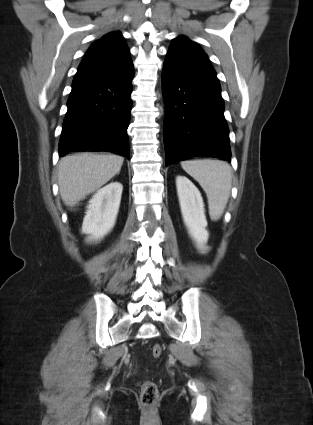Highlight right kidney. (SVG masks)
Instances as JSON below:
<instances>
[{"label": "right kidney", "instance_id": "ca27d5eb", "mask_svg": "<svg viewBox=\"0 0 313 425\" xmlns=\"http://www.w3.org/2000/svg\"><path fill=\"white\" fill-rule=\"evenodd\" d=\"M122 190L121 183L111 182L93 195L82 223V233L88 235L87 241L102 239L114 227Z\"/></svg>", "mask_w": 313, "mask_h": 425}]
</instances>
